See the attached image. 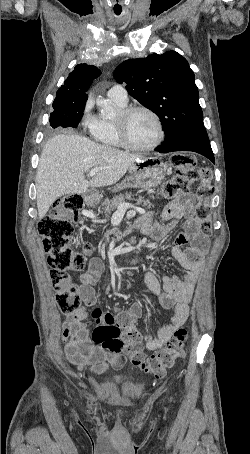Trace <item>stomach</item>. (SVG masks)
<instances>
[{"label":"stomach","instance_id":"1","mask_svg":"<svg viewBox=\"0 0 250 454\" xmlns=\"http://www.w3.org/2000/svg\"><path fill=\"white\" fill-rule=\"evenodd\" d=\"M166 166L156 157H144L129 168L130 176L121 187L147 188L159 185L165 178ZM87 204L95 202L97 195L90 192L84 195Z\"/></svg>","mask_w":250,"mask_h":454}]
</instances>
